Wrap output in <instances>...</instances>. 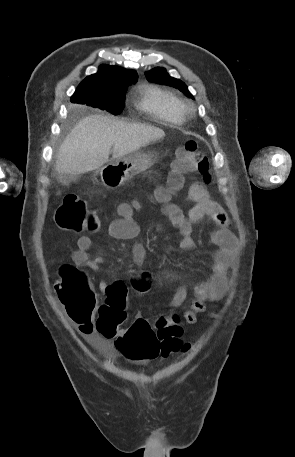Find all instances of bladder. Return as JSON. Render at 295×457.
Masks as SVG:
<instances>
[{
    "mask_svg": "<svg viewBox=\"0 0 295 457\" xmlns=\"http://www.w3.org/2000/svg\"><path fill=\"white\" fill-rule=\"evenodd\" d=\"M85 346L86 347H107L108 339L107 338H86Z\"/></svg>",
    "mask_w": 295,
    "mask_h": 457,
    "instance_id": "obj_1",
    "label": "bladder"
}]
</instances>
